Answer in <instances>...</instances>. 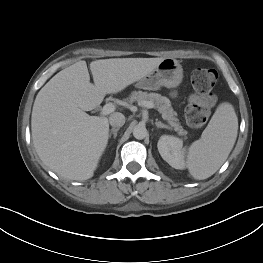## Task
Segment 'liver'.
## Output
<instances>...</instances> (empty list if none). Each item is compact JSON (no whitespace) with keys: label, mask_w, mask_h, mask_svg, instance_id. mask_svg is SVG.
I'll use <instances>...</instances> for the list:
<instances>
[{"label":"liver","mask_w":263,"mask_h":263,"mask_svg":"<svg viewBox=\"0 0 263 263\" xmlns=\"http://www.w3.org/2000/svg\"><path fill=\"white\" fill-rule=\"evenodd\" d=\"M163 59L92 61L94 84L84 60L53 76L38 92L31 116L33 144L43 164L67 180L90 179L107 146L109 123L85 111L151 73Z\"/></svg>","instance_id":"6515ba94"}]
</instances>
